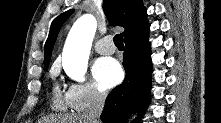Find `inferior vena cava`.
I'll list each match as a JSON object with an SVG mask.
<instances>
[{
	"mask_svg": "<svg viewBox=\"0 0 221 123\" xmlns=\"http://www.w3.org/2000/svg\"><path fill=\"white\" fill-rule=\"evenodd\" d=\"M106 94L94 90L92 93V102L88 112L85 114L91 123H99L100 115L104 108Z\"/></svg>",
	"mask_w": 221,
	"mask_h": 123,
	"instance_id": "obj_1",
	"label": "inferior vena cava"
}]
</instances>
